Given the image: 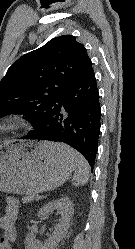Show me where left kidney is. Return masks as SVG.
Masks as SVG:
<instances>
[{
	"mask_svg": "<svg viewBox=\"0 0 135 249\" xmlns=\"http://www.w3.org/2000/svg\"><path fill=\"white\" fill-rule=\"evenodd\" d=\"M54 210L61 214L58 224L52 235L44 242L35 240L33 232H29L26 236V249H57L59 242L66 235L69 228V223L73 214V204L67 197H62L58 200L49 202L44 205L38 212L39 218H45Z\"/></svg>",
	"mask_w": 135,
	"mask_h": 249,
	"instance_id": "left-kidney-1",
	"label": "left kidney"
}]
</instances>
